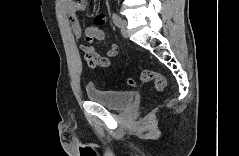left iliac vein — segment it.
Here are the masks:
<instances>
[{"instance_id":"obj_1","label":"left iliac vein","mask_w":239,"mask_h":156,"mask_svg":"<svg viewBox=\"0 0 239 156\" xmlns=\"http://www.w3.org/2000/svg\"><path fill=\"white\" fill-rule=\"evenodd\" d=\"M120 30H121V34L127 38L128 30H127V21L125 19H122L120 22Z\"/></svg>"}]
</instances>
